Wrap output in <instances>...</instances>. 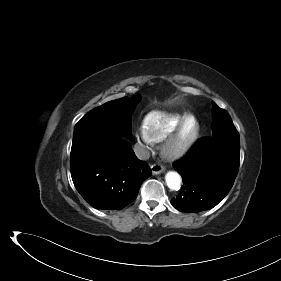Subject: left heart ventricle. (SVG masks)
Masks as SVG:
<instances>
[{
    "instance_id": "1",
    "label": "left heart ventricle",
    "mask_w": 281,
    "mask_h": 281,
    "mask_svg": "<svg viewBox=\"0 0 281 281\" xmlns=\"http://www.w3.org/2000/svg\"><path fill=\"white\" fill-rule=\"evenodd\" d=\"M194 129H195L194 120L192 119L188 120L182 131V137L188 138L193 133Z\"/></svg>"
}]
</instances>
